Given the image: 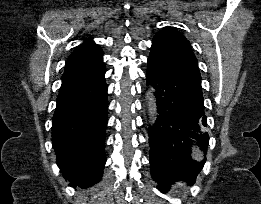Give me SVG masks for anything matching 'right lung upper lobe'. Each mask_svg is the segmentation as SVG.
<instances>
[{"label": "right lung upper lobe", "mask_w": 261, "mask_h": 204, "mask_svg": "<svg viewBox=\"0 0 261 204\" xmlns=\"http://www.w3.org/2000/svg\"><path fill=\"white\" fill-rule=\"evenodd\" d=\"M103 51L90 38L79 45L69 56L65 65V71L90 65L102 59Z\"/></svg>", "instance_id": "right-lung-upper-lobe-1"}]
</instances>
